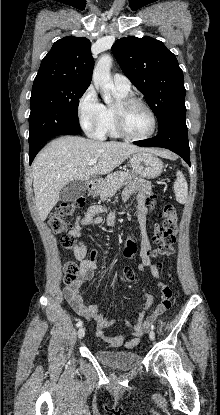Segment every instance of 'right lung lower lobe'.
Returning a JSON list of instances; mask_svg holds the SVG:
<instances>
[{
    "instance_id": "1",
    "label": "right lung lower lobe",
    "mask_w": 220,
    "mask_h": 415,
    "mask_svg": "<svg viewBox=\"0 0 220 415\" xmlns=\"http://www.w3.org/2000/svg\"><path fill=\"white\" fill-rule=\"evenodd\" d=\"M81 132V130H77L74 132V134H79ZM73 134V135H74ZM47 143V141L45 143H43L41 146H39L38 148L29 151V160H30V164L32 163L34 157L36 156V154L41 150V148Z\"/></svg>"
}]
</instances>
